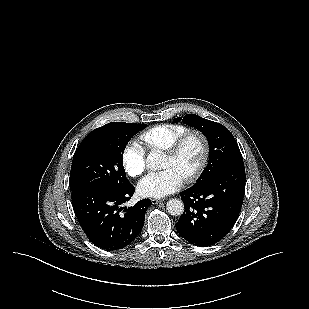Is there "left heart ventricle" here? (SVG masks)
Listing matches in <instances>:
<instances>
[{"mask_svg": "<svg viewBox=\"0 0 309 309\" xmlns=\"http://www.w3.org/2000/svg\"><path fill=\"white\" fill-rule=\"evenodd\" d=\"M203 154L202 143L197 137H191L176 157L164 156L163 169H173L182 178L192 173L199 165Z\"/></svg>", "mask_w": 309, "mask_h": 309, "instance_id": "1", "label": "left heart ventricle"}]
</instances>
